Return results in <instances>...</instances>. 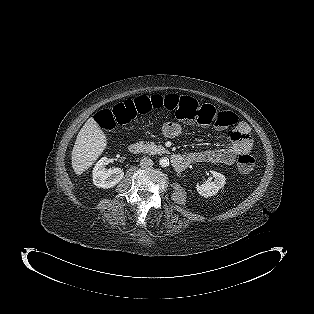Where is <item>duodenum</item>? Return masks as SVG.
Here are the masks:
<instances>
[{"label": "duodenum", "instance_id": "1", "mask_svg": "<svg viewBox=\"0 0 314 314\" xmlns=\"http://www.w3.org/2000/svg\"><path fill=\"white\" fill-rule=\"evenodd\" d=\"M143 145L141 143H133L129 146V152L134 155L141 154L143 152ZM172 166L176 171H183L187 166L194 162V158L189 155L174 154L171 156Z\"/></svg>", "mask_w": 314, "mask_h": 314}]
</instances>
